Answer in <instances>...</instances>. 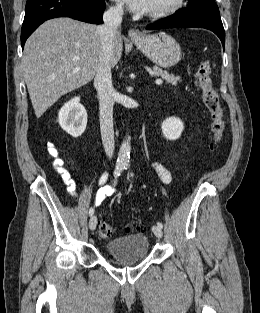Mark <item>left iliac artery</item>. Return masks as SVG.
Segmentation results:
<instances>
[{"instance_id":"44dca946","label":"left iliac artery","mask_w":260,"mask_h":313,"mask_svg":"<svg viewBox=\"0 0 260 313\" xmlns=\"http://www.w3.org/2000/svg\"><path fill=\"white\" fill-rule=\"evenodd\" d=\"M131 175L133 176V174H131ZM157 225H158L159 227L163 228L162 222H157Z\"/></svg>"}]
</instances>
